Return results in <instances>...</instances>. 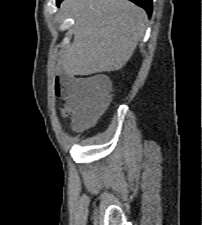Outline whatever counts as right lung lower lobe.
Masks as SVG:
<instances>
[{"mask_svg":"<svg viewBox=\"0 0 202 225\" xmlns=\"http://www.w3.org/2000/svg\"><path fill=\"white\" fill-rule=\"evenodd\" d=\"M62 0H57V4L59 5V3ZM132 2H134L135 4H137L138 6L144 8L148 15L150 16L152 13V0H130Z\"/></svg>","mask_w":202,"mask_h":225,"instance_id":"obj_1","label":"right lung lower lobe"}]
</instances>
